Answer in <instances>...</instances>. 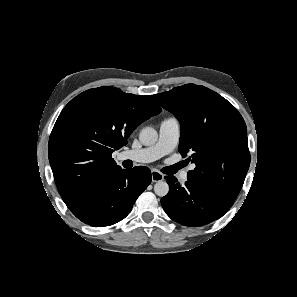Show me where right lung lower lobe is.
I'll use <instances>...</instances> for the list:
<instances>
[{"instance_id":"right-lung-lower-lobe-1","label":"right lung lower lobe","mask_w":297,"mask_h":297,"mask_svg":"<svg viewBox=\"0 0 297 297\" xmlns=\"http://www.w3.org/2000/svg\"><path fill=\"white\" fill-rule=\"evenodd\" d=\"M150 182L151 171L147 167L120 169L97 184L71 212L93 227L112 225L130 213Z\"/></svg>"}]
</instances>
